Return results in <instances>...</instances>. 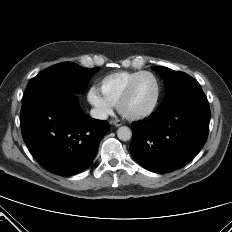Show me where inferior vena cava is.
I'll return each mask as SVG.
<instances>
[{"label": "inferior vena cava", "instance_id": "1", "mask_svg": "<svg viewBox=\"0 0 232 232\" xmlns=\"http://www.w3.org/2000/svg\"><path fill=\"white\" fill-rule=\"evenodd\" d=\"M90 115L91 117L95 118V119H100V120H105L108 118V114L101 110V109H97V108H93L90 110Z\"/></svg>", "mask_w": 232, "mask_h": 232}]
</instances>
